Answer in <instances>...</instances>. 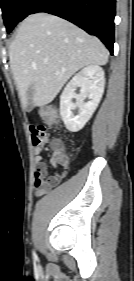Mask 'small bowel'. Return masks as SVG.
Instances as JSON below:
<instances>
[{
  "label": "small bowel",
  "mask_w": 134,
  "mask_h": 281,
  "mask_svg": "<svg viewBox=\"0 0 134 281\" xmlns=\"http://www.w3.org/2000/svg\"><path fill=\"white\" fill-rule=\"evenodd\" d=\"M30 129L35 162L34 186L36 195L41 196L50 192L57 186L63 175H48V166L41 156L42 149L49 142V131L47 128L44 125H32ZM50 164L53 168H56L59 164L57 158L53 154L50 158Z\"/></svg>",
  "instance_id": "small-bowel-1"
}]
</instances>
